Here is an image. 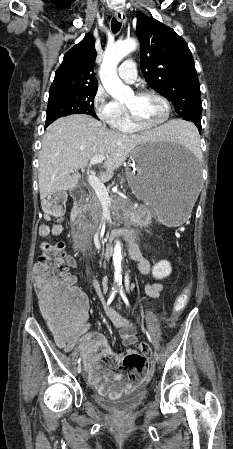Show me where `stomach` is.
I'll return each instance as SVG.
<instances>
[{"mask_svg":"<svg viewBox=\"0 0 233 449\" xmlns=\"http://www.w3.org/2000/svg\"><path fill=\"white\" fill-rule=\"evenodd\" d=\"M126 177L135 196L163 225L183 224L199 201L200 171L196 158L167 142H146L131 153Z\"/></svg>","mask_w":233,"mask_h":449,"instance_id":"1","label":"stomach"}]
</instances>
